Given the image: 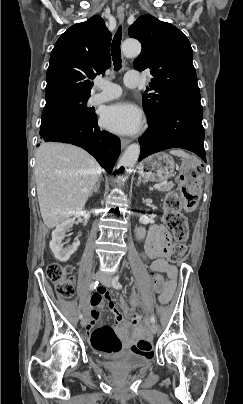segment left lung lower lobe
Here are the masks:
<instances>
[{"label": "left lung lower lobe", "instance_id": "1", "mask_svg": "<svg viewBox=\"0 0 243 404\" xmlns=\"http://www.w3.org/2000/svg\"><path fill=\"white\" fill-rule=\"evenodd\" d=\"M203 108L200 105L180 104L168 108L139 139L145 157L169 148H183L194 152L206 162L204 150Z\"/></svg>", "mask_w": 243, "mask_h": 404}]
</instances>
